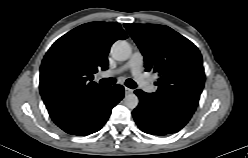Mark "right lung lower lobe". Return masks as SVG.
I'll return each instance as SVG.
<instances>
[{
	"label": "right lung lower lobe",
	"mask_w": 248,
	"mask_h": 158,
	"mask_svg": "<svg viewBox=\"0 0 248 158\" xmlns=\"http://www.w3.org/2000/svg\"><path fill=\"white\" fill-rule=\"evenodd\" d=\"M123 97L121 85L102 87L82 100L48 112L54 123L65 132L89 135L101 129L112 108Z\"/></svg>",
	"instance_id": "right-lung-lower-lobe-1"
}]
</instances>
